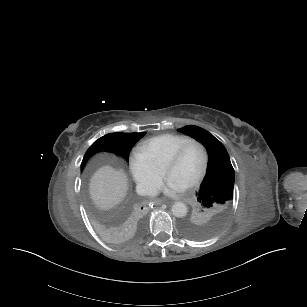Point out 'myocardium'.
Segmentation results:
<instances>
[{
    "mask_svg": "<svg viewBox=\"0 0 307 307\" xmlns=\"http://www.w3.org/2000/svg\"><path fill=\"white\" fill-rule=\"evenodd\" d=\"M194 143L200 144L202 149H203L204 164H203V167H202V170L200 171V173L187 185L190 188L198 185L204 179V177L206 176L208 169H209V162H210L209 152H208V148H207L206 144L202 140L196 139V138H191V139L187 140L173 154L168 156L165 159V161L163 162L164 171L166 172L167 166L172 164V163L179 161L182 158V156L184 155L187 148L191 144H194Z\"/></svg>",
    "mask_w": 307,
    "mask_h": 307,
    "instance_id": "obj_1",
    "label": "myocardium"
}]
</instances>
